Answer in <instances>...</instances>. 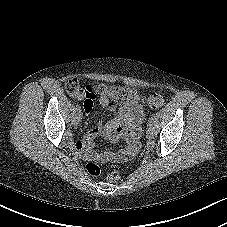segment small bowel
Returning <instances> with one entry per match:
<instances>
[{
    "mask_svg": "<svg viewBox=\"0 0 227 227\" xmlns=\"http://www.w3.org/2000/svg\"><path fill=\"white\" fill-rule=\"evenodd\" d=\"M74 96L77 100L83 101L85 112L90 114L94 99L88 98L85 89ZM99 102L103 108L114 112V118L105 125L98 124L91 129L82 141H71L72 149L87 160L121 161L131 158L138 149L140 125L144 118L140 95L134 91L130 102L122 104L120 108H117L116 103L105 95L100 96ZM98 136L106 137L112 142L123 139L127 145L118 152L104 151L97 153L93 150V146L94 140Z\"/></svg>",
    "mask_w": 227,
    "mask_h": 227,
    "instance_id": "obj_1",
    "label": "small bowel"
}]
</instances>
